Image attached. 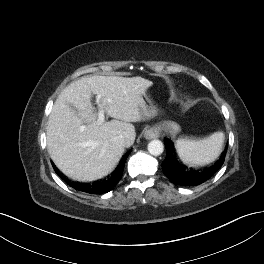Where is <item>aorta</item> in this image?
<instances>
[{
  "label": "aorta",
  "instance_id": "762f6f07",
  "mask_svg": "<svg viewBox=\"0 0 264 264\" xmlns=\"http://www.w3.org/2000/svg\"><path fill=\"white\" fill-rule=\"evenodd\" d=\"M147 149L151 155L159 156L164 151V145L160 140L155 139L149 142Z\"/></svg>",
  "mask_w": 264,
  "mask_h": 264
}]
</instances>
